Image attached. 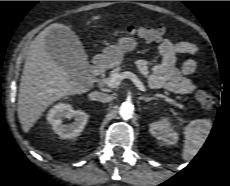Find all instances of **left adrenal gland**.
Wrapping results in <instances>:
<instances>
[{"label": "left adrenal gland", "mask_w": 230, "mask_h": 186, "mask_svg": "<svg viewBox=\"0 0 230 186\" xmlns=\"http://www.w3.org/2000/svg\"><path fill=\"white\" fill-rule=\"evenodd\" d=\"M141 100H144L145 102H149L151 100H156L155 97H140Z\"/></svg>", "instance_id": "a2214340"}]
</instances>
